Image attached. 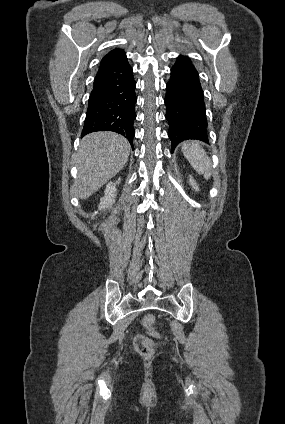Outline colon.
<instances>
[{
  "mask_svg": "<svg viewBox=\"0 0 285 424\" xmlns=\"http://www.w3.org/2000/svg\"><path fill=\"white\" fill-rule=\"evenodd\" d=\"M142 324L144 327L150 330H154L156 320L153 315H147L143 318ZM134 347L136 351L144 357H150L154 354L155 351V343L149 337L137 334L134 337Z\"/></svg>",
  "mask_w": 285,
  "mask_h": 424,
  "instance_id": "1",
  "label": "colon"
}]
</instances>
